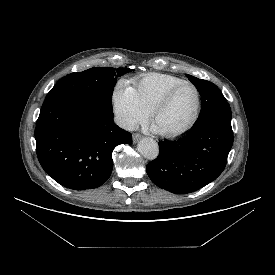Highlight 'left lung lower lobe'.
I'll return each instance as SVG.
<instances>
[{"mask_svg": "<svg viewBox=\"0 0 275 275\" xmlns=\"http://www.w3.org/2000/svg\"><path fill=\"white\" fill-rule=\"evenodd\" d=\"M232 144L230 120L204 123L177 141H160V153L147 165V174L162 189L191 193L222 173Z\"/></svg>", "mask_w": 275, "mask_h": 275, "instance_id": "obj_1", "label": "left lung lower lobe"}]
</instances>
